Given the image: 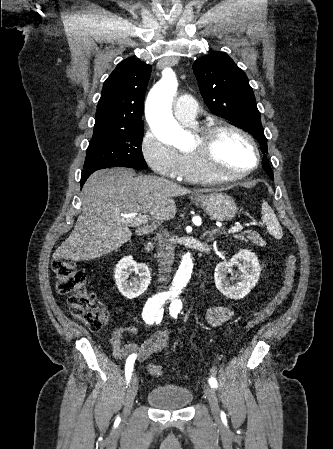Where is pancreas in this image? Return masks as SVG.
Returning <instances> with one entry per match:
<instances>
[{
    "instance_id": "1",
    "label": "pancreas",
    "mask_w": 333,
    "mask_h": 449,
    "mask_svg": "<svg viewBox=\"0 0 333 449\" xmlns=\"http://www.w3.org/2000/svg\"><path fill=\"white\" fill-rule=\"evenodd\" d=\"M235 238L240 240H245L246 242L251 241L254 245L264 246V241L260 234L256 231H244L239 235H236Z\"/></svg>"
}]
</instances>
